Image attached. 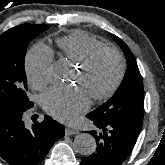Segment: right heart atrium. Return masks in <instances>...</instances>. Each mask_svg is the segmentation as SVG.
<instances>
[{
	"label": "right heart atrium",
	"mask_w": 165,
	"mask_h": 165,
	"mask_svg": "<svg viewBox=\"0 0 165 165\" xmlns=\"http://www.w3.org/2000/svg\"><path fill=\"white\" fill-rule=\"evenodd\" d=\"M52 60L53 54L45 45L36 44L29 50L25 66L32 87L40 89L48 84Z\"/></svg>",
	"instance_id": "1"
}]
</instances>
